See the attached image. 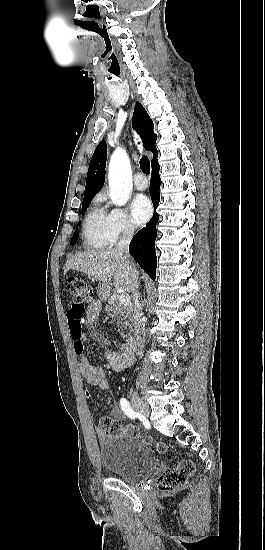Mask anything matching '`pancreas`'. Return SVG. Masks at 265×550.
<instances>
[{
    "label": "pancreas",
    "mask_w": 265,
    "mask_h": 550,
    "mask_svg": "<svg viewBox=\"0 0 265 550\" xmlns=\"http://www.w3.org/2000/svg\"><path fill=\"white\" fill-rule=\"evenodd\" d=\"M105 310L109 316L117 317L120 323H123L125 327H131L130 322L133 320V306L131 303L121 304L119 302V295L115 294L108 299ZM122 336L124 337L125 334L122 333Z\"/></svg>",
    "instance_id": "1"
}]
</instances>
